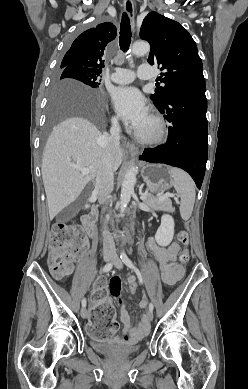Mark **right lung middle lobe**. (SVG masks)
Listing matches in <instances>:
<instances>
[{
  "instance_id": "dd1d6c3e",
  "label": "right lung middle lobe",
  "mask_w": 248,
  "mask_h": 389,
  "mask_svg": "<svg viewBox=\"0 0 248 389\" xmlns=\"http://www.w3.org/2000/svg\"><path fill=\"white\" fill-rule=\"evenodd\" d=\"M101 74L75 66L61 65L55 77L56 84H73L79 82L91 88H98L100 85ZM72 113H79L88 116L93 120H98L101 116V109L98 105H90L84 101H76L70 103L53 102L50 107L51 124L64 116Z\"/></svg>"
}]
</instances>
